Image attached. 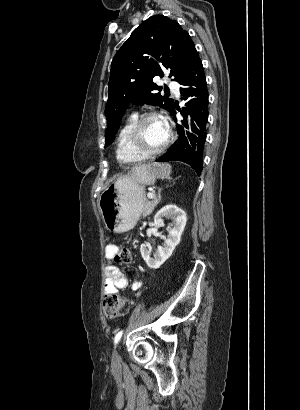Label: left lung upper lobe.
Instances as JSON below:
<instances>
[{
	"label": "left lung upper lobe",
	"instance_id": "5c2ea615",
	"mask_svg": "<svg viewBox=\"0 0 300 410\" xmlns=\"http://www.w3.org/2000/svg\"><path fill=\"white\" fill-rule=\"evenodd\" d=\"M196 54L188 32L166 16L154 15L133 31L111 63L105 147L112 143L122 115L131 103L173 111L174 100L157 92L162 87L154 84L153 78L168 72L178 82Z\"/></svg>",
	"mask_w": 300,
	"mask_h": 410
}]
</instances>
